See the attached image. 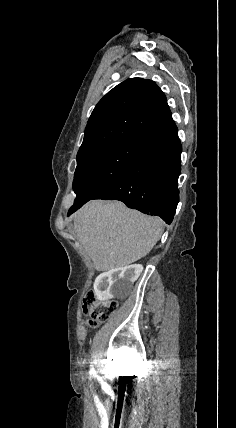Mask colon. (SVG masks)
I'll use <instances>...</instances> for the list:
<instances>
[{
  "label": "colon",
  "mask_w": 236,
  "mask_h": 428,
  "mask_svg": "<svg viewBox=\"0 0 236 428\" xmlns=\"http://www.w3.org/2000/svg\"><path fill=\"white\" fill-rule=\"evenodd\" d=\"M118 309L114 300H98L93 291H88L83 301V312L89 317V325L97 327L108 320Z\"/></svg>",
  "instance_id": "colon-1"
}]
</instances>
